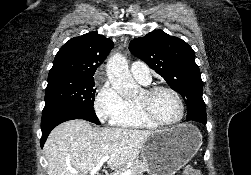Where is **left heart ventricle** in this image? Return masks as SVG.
Wrapping results in <instances>:
<instances>
[{
  "label": "left heart ventricle",
  "mask_w": 251,
  "mask_h": 175,
  "mask_svg": "<svg viewBox=\"0 0 251 175\" xmlns=\"http://www.w3.org/2000/svg\"><path fill=\"white\" fill-rule=\"evenodd\" d=\"M135 102L148 107L161 122L166 124L176 123L181 117L180 103L170 91H159L152 96L142 91Z\"/></svg>",
  "instance_id": "b2bd125f"
}]
</instances>
